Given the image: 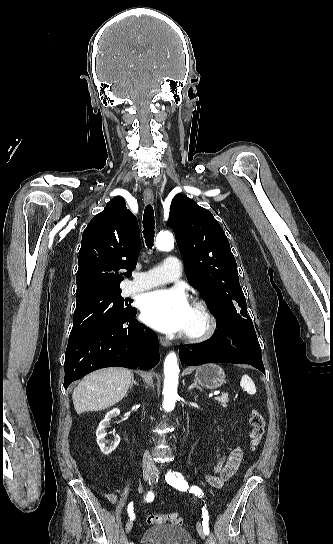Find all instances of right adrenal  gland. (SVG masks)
<instances>
[{"mask_svg": "<svg viewBox=\"0 0 333 544\" xmlns=\"http://www.w3.org/2000/svg\"><path fill=\"white\" fill-rule=\"evenodd\" d=\"M133 385H137V386H138L139 384L135 381L134 376L132 375V382H131V384H130V389L133 387Z\"/></svg>", "mask_w": 333, "mask_h": 544, "instance_id": "1", "label": "right adrenal gland"}]
</instances>
